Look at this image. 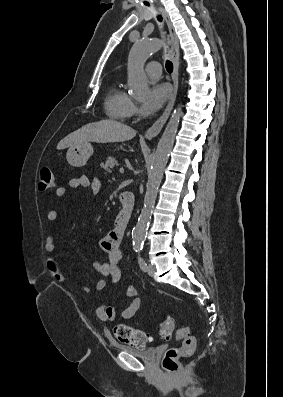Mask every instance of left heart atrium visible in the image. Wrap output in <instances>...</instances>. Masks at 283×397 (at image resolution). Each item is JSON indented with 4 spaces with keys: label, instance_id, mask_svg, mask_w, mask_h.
Masks as SVG:
<instances>
[{
    "label": "left heart atrium",
    "instance_id": "39dd6f15",
    "mask_svg": "<svg viewBox=\"0 0 283 397\" xmlns=\"http://www.w3.org/2000/svg\"><path fill=\"white\" fill-rule=\"evenodd\" d=\"M170 95V88L166 84H156L149 90L148 96L143 103V110L147 113L158 111Z\"/></svg>",
    "mask_w": 283,
    "mask_h": 397
}]
</instances>
